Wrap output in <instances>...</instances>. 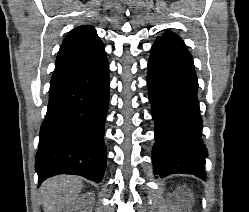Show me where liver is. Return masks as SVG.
Instances as JSON below:
<instances>
[{
  "label": "liver",
  "instance_id": "obj_1",
  "mask_svg": "<svg viewBox=\"0 0 249 212\" xmlns=\"http://www.w3.org/2000/svg\"><path fill=\"white\" fill-rule=\"evenodd\" d=\"M81 180L79 176H54L43 182L40 190L44 212H62L64 208L76 210L72 200L79 196L83 188Z\"/></svg>",
  "mask_w": 249,
  "mask_h": 212
}]
</instances>
